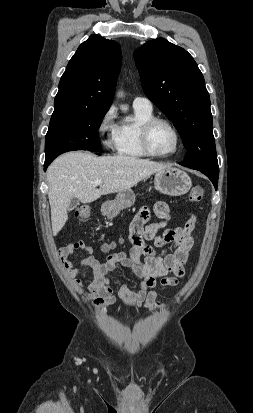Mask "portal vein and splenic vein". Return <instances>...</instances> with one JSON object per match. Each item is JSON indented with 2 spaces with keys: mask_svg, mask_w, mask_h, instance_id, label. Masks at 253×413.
I'll use <instances>...</instances> for the list:
<instances>
[{
  "mask_svg": "<svg viewBox=\"0 0 253 413\" xmlns=\"http://www.w3.org/2000/svg\"><path fill=\"white\" fill-rule=\"evenodd\" d=\"M94 184L97 185V186H98V185H101V184H102V181H101V180H96V181L94 182Z\"/></svg>",
  "mask_w": 253,
  "mask_h": 413,
  "instance_id": "portal-vein-and-splenic-vein-1",
  "label": "portal vein and splenic vein"
}]
</instances>
